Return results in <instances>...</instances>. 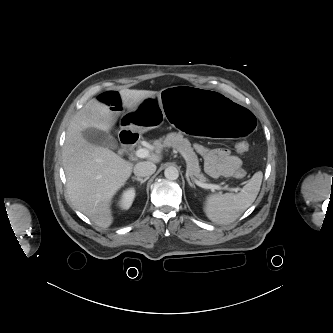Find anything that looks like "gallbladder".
Returning <instances> with one entry per match:
<instances>
[{
	"label": "gallbladder",
	"instance_id": "bac80fb5",
	"mask_svg": "<svg viewBox=\"0 0 333 333\" xmlns=\"http://www.w3.org/2000/svg\"><path fill=\"white\" fill-rule=\"evenodd\" d=\"M82 134L88 142L94 145L110 148L112 150H118V153H121V150L118 149L116 140L108 132L101 131L96 128H89L83 131Z\"/></svg>",
	"mask_w": 333,
	"mask_h": 333
}]
</instances>
